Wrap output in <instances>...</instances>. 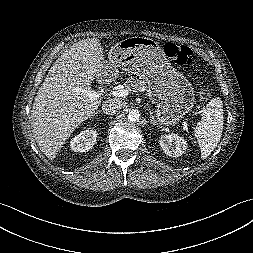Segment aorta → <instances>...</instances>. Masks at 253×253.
Here are the masks:
<instances>
[{
    "mask_svg": "<svg viewBox=\"0 0 253 253\" xmlns=\"http://www.w3.org/2000/svg\"><path fill=\"white\" fill-rule=\"evenodd\" d=\"M140 112L136 109H132L128 112V120L131 121V122H136L140 119Z\"/></svg>",
    "mask_w": 253,
    "mask_h": 253,
    "instance_id": "762f6f07",
    "label": "aorta"
}]
</instances>
